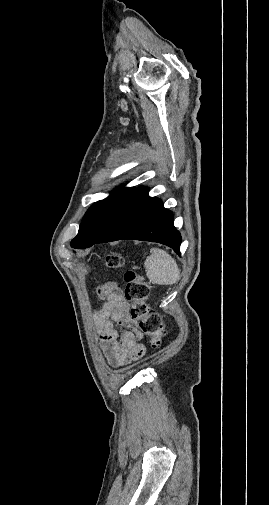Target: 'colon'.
Segmentation results:
<instances>
[{
    "label": "colon",
    "instance_id": "colon-1",
    "mask_svg": "<svg viewBox=\"0 0 269 505\" xmlns=\"http://www.w3.org/2000/svg\"><path fill=\"white\" fill-rule=\"evenodd\" d=\"M123 263L124 259L119 254H109L105 258L106 266L112 269L120 268ZM124 279V296L132 303L131 317L138 322L140 331L148 337L151 347L157 349L163 343L165 330L162 316L147 304L151 284L132 270L125 273Z\"/></svg>",
    "mask_w": 269,
    "mask_h": 505
}]
</instances>
